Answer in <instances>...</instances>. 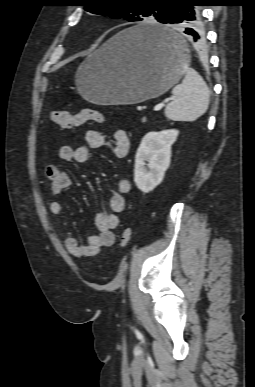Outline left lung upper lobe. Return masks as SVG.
<instances>
[{
	"instance_id": "5c2ea615",
	"label": "left lung upper lobe",
	"mask_w": 255,
	"mask_h": 387,
	"mask_svg": "<svg viewBox=\"0 0 255 387\" xmlns=\"http://www.w3.org/2000/svg\"><path fill=\"white\" fill-rule=\"evenodd\" d=\"M182 0H80L85 10L111 18H123L130 22L142 21L153 16L158 22L165 23L170 7Z\"/></svg>"
}]
</instances>
